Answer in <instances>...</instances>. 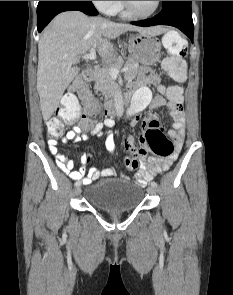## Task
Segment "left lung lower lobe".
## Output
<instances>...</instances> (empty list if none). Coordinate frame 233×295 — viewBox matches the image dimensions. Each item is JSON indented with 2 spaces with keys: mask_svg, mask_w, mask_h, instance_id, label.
I'll use <instances>...</instances> for the list:
<instances>
[{
  "mask_svg": "<svg viewBox=\"0 0 233 295\" xmlns=\"http://www.w3.org/2000/svg\"><path fill=\"white\" fill-rule=\"evenodd\" d=\"M134 25L148 27L158 24L179 28L193 43L194 26L191 13V1H168L162 11L147 20L132 22Z\"/></svg>",
  "mask_w": 233,
  "mask_h": 295,
  "instance_id": "left-lung-lower-lobe-1",
  "label": "left lung lower lobe"
}]
</instances>
